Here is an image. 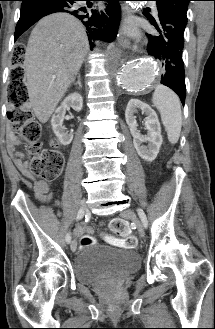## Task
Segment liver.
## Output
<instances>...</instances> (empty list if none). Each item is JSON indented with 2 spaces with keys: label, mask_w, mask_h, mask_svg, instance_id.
<instances>
[{
  "label": "liver",
  "mask_w": 215,
  "mask_h": 329,
  "mask_svg": "<svg viewBox=\"0 0 215 329\" xmlns=\"http://www.w3.org/2000/svg\"><path fill=\"white\" fill-rule=\"evenodd\" d=\"M89 50L83 24L67 13L41 19L28 40L24 71L29 105L41 123L49 120L79 72Z\"/></svg>",
  "instance_id": "1"
}]
</instances>
